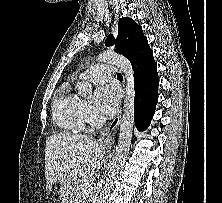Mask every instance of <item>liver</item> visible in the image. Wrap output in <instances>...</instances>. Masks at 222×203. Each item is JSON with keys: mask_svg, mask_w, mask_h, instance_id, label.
<instances>
[{"mask_svg": "<svg viewBox=\"0 0 222 203\" xmlns=\"http://www.w3.org/2000/svg\"><path fill=\"white\" fill-rule=\"evenodd\" d=\"M103 162V149L89 136L66 133L49 136L45 147L47 193L58 181L62 197L73 195V182L92 181Z\"/></svg>", "mask_w": 222, "mask_h": 203, "instance_id": "6515ba94", "label": "liver"}]
</instances>
